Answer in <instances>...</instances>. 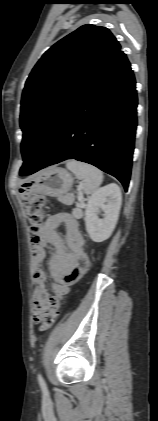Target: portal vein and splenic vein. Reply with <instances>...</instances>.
<instances>
[{
    "mask_svg": "<svg viewBox=\"0 0 158 421\" xmlns=\"http://www.w3.org/2000/svg\"><path fill=\"white\" fill-rule=\"evenodd\" d=\"M82 198H83V197L81 196V194H79V200H82Z\"/></svg>",
    "mask_w": 158,
    "mask_h": 421,
    "instance_id": "portal-vein-and-splenic-vein-1",
    "label": "portal vein and splenic vein"
}]
</instances>
